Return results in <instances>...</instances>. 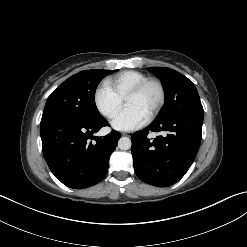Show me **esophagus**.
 I'll return each instance as SVG.
<instances>
[{"label":"esophagus","instance_id":"34e87169","mask_svg":"<svg viewBox=\"0 0 247 247\" xmlns=\"http://www.w3.org/2000/svg\"><path fill=\"white\" fill-rule=\"evenodd\" d=\"M122 135L130 137L132 135V133L131 132H124V133H122Z\"/></svg>","mask_w":247,"mask_h":247}]
</instances>
